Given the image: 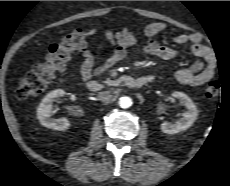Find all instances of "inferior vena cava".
I'll return each mask as SVG.
<instances>
[{
	"instance_id": "602c4592",
	"label": "inferior vena cava",
	"mask_w": 230,
	"mask_h": 186,
	"mask_svg": "<svg viewBox=\"0 0 230 186\" xmlns=\"http://www.w3.org/2000/svg\"><path fill=\"white\" fill-rule=\"evenodd\" d=\"M98 99L102 102L109 103L112 99V94L110 91L99 92Z\"/></svg>"
}]
</instances>
